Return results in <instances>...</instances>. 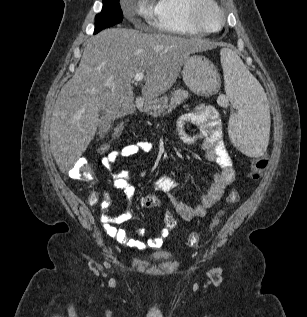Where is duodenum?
Here are the masks:
<instances>
[{"mask_svg":"<svg viewBox=\"0 0 307 317\" xmlns=\"http://www.w3.org/2000/svg\"><path fill=\"white\" fill-rule=\"evenodd\" d=\"M145 105H146V102H145L144 99H138V100H137V108H138V109L144 108Z\"/></svg>","mask_w":307,"mask_h":317,"instance_id":"1","label":"duodenum"}]
</instances>
